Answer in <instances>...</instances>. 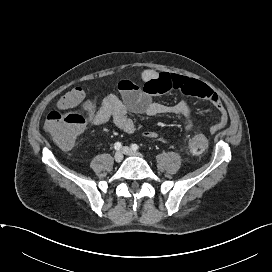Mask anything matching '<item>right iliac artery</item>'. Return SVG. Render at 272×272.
<instances>
[{
  "instance_id": "right-iliac-artery-1",
  "label": "right iliac artery",
  "mask_w": 272,
  "mask_h": 272,
  "mask_svg": "<svg viewBox=\"0 0 272 272\" xmlns=\"http://www.w3.org/2000/svg\"><path fill=\"white\" fill-rule=\"evenodd\" d=\"M122 147V144L120 142H116L114 145L115 150H120Z\"/></svg>"
}]
</instances>
